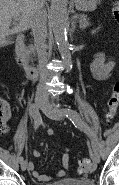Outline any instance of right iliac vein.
<instances>
[{
  "instance_id": "right-iliac-vein-1",
  "label": "right iliac vein",
  "mask_w": 119,
  "mask_h": 185,
  "mask_svg": "<svg viewBox=\"0 0 119 185\" xmlns=\"http://www.w3.org/2000/svg\"><path fill=\"white\" fill-rule=\"evenodd\" d=\"M45 105V101L42 98H37L35 101V107L37 109V113H39V110L43 109ZM40 121H41V116H39ZM21 164V170L25 171L27 169V161L23 160L22 162H20Z\"/></svg>"
}]
</instances>
